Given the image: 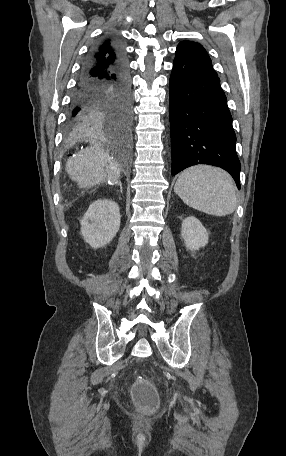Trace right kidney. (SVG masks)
Wrapping results in <instances>:
<instances>
[{"mask_svg":"<svg viewBox=\"0 0 286 456\" xmlns=\"http://www.w3.org/2000/svg\"><path fill=\"white\" fill-rule=\"evenodd\" d=\"M121 215L116 202L98 199L81 220V235L92 248L104 247L112 241L120 227Z\"/></svg>","mask_w":286,"mask_h":456,"instance_id":"1","label":"right kidney"}]
</instances>
